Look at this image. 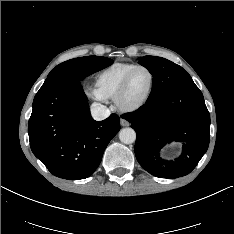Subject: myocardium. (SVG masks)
I'll list each match as a JSON object with an SVG mask.
<instances>
[{
  "label": "myocardium",
  "mask_w": 234,
  "mask_h": 234,
  "mask_svg": "<svg viewBox=\"0 0 234 234\" xmlns=\"http://www.w3.org/2000/svg\"><path fill=\"white\" fill-rule=\"evenodd\" d=\"M141 69L148 71L150 76H151V83H150L149 90H148L147 94L144 96V98L141 99L139 102L131 104V105H127L124 102V98H125V95H126V93L128 91L131 78H132V76L134 75V73L136 71L141 70ZM155 81H156L155 74L149 67L144 66V65H137L135 68H133L126 75V77L124 78V80L122 82V84H121V86H120V88H119V90H118V92H117V94H116V96L114 98V102H115L116 107L121 112H124V113H131V112H135V111L139 110L150 99V97H151V95L153 93L154 87H155Z\"/></svg>",
  "instance_id": "1"
}]
</instances>
